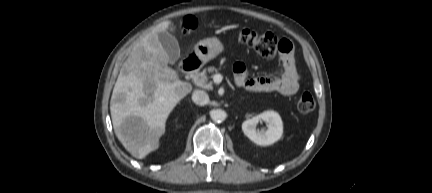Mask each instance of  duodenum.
<instances>
[{
	"mask_svg": "<svg viewBox=\"0 0 432 193\" xmlns=\"http://www.w3.org/2000/svg\"><path fill=\"white\" fill-rule=\"evenodd\" d=\"M200 65H201L200 60L196 56H191L185 59L181 63L180 67L182 72L185 75L191 76V75H195L198 72Z\"/></svg>",
	"mask_w": 432,
	"mask_h": 193,
	"instance_id": "410a0bca",
	"label": "duodenum"
}]
</instances>
